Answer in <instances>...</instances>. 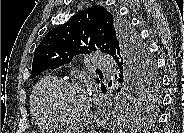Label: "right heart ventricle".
Listing matches in <instances>:
<instances>
[{"mask_svg":"<svg viewBox=\"0 0 184 133\" xmlns=\"http://www.w3.org/2000/svg\"><path fill=\"white\" fill-rule=\"evenodd\" d=\"M58 80L54 75H46L35 85L31 95V112L35 121L43 127H52L55 125L53 120L47 114L44 107V98L51 86Z\"/></svg>","mask_w":184,"mask_h":133,"instance_id":"right-heart-ventricle-1","label":"right heart ventricle"}]
</instances>
